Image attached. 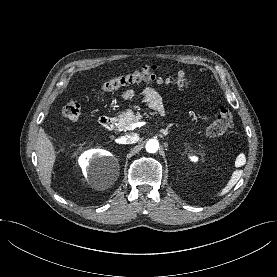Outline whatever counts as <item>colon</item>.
Segmentation results:
<instances>
[{
  "instance_id": "obj_1",
  "label": "colon",
  "mask_w": 277,
  "mask_h": 277,
  "mask_svg": "<svg viewBox=\"0 0 277 277\" xmlns=\"http://www.w3.org/2000/svg\"><path fill=\"white\" fill-rule=\"evenodd\" d=\"M140 82H158L174 84L179 87L188 86L192 78L185 72L170 74L157 66H146L139 70L109 79L102 86V91H114L122 86ZM81 113V106L77 100L68 101L62 109V114L69 120H77ZM233 126V115L225 106L218 108L215 119L207 126L205 132L209 137H217L227 133Z\"/></svg>"
}]
</instances>
